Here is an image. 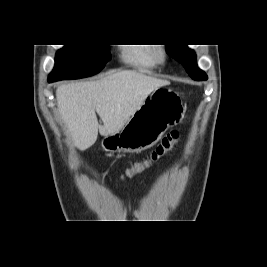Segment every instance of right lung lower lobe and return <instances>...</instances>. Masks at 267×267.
<instances>
[{
  "instance_id": "right-lung-lower-lobe-1",
  "label": "right lung lower lobe",
  "mask_w": 267,
  "mask_h": 267,
  "mask_svg": "<svg viewBox=\"0 0 267 267\" xmlns=\"http://www.w3.org/2000/svg\"><path fill=\"white\" fill-rule=\"evenodd\" d=\"M48 82L50 83V82H54L53 80H51V79H48Z\"/></svg>"
}]
</instances>
